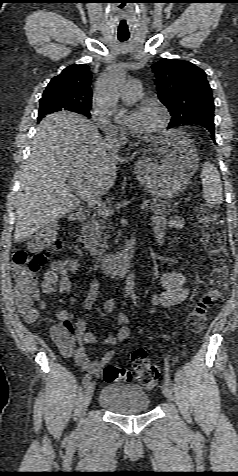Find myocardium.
I'll list each match as a JSON object with an SVG mask.
<instances>
[{"label": "myocardium", "instance_id": "1", "mask_svg": "<svg viewBox=\"0 0 238 476\" xmlns=\"http://www.w3.org/2000/svg\"><path fill=\"white\" fill-rule=\"evenodd\" d=\"M142 106L153 108L159 116L156 126L147 133V138H151L160 133L166 127L168 123V111L162 104L154 101H146L142 103Z\"/></svg>", "mask_w": 238, "mask_h": 476}]
</instances>
